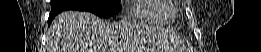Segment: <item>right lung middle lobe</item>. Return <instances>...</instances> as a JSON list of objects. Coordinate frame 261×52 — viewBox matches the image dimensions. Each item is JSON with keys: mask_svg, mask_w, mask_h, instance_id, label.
Instances as JSON below:
<instances>
[{"mask_svg": "<svg viewBox=\"0 0 261 52\" xmlns=\"http://www.w3.org/2000/svg\"><path fill=\"white\" fill-rule=\"evenodd\" d=\"M51 11H89L99 17L115 15L120 9V0H51Z\"/></svg>", "mask_w": 261, "mask_h": 52, "instance_id": "dd1d6c3e", "label": "right lung middle lobe"}]
</instances>
